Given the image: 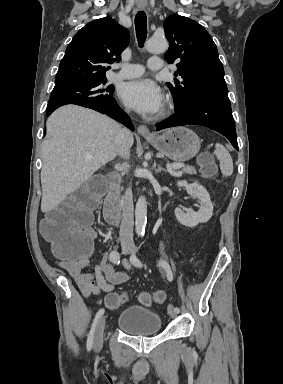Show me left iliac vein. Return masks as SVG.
<instances>
[{"label":"left iliac vein","mask_w":283,"mask_h":384,"mask_svg":"<svg viewBox=\"0 0 283 384\" xmlns=\"http://www.w3.org/2000/svg\"><path fill=\"white\" fill-rule=\"evenodd\" d=\"M168 314L170 315L171 318H175L177 316V313L174 310L172 305L168 306Z\"/></svg>","instance_id":"obj_1"}]
</instances>
